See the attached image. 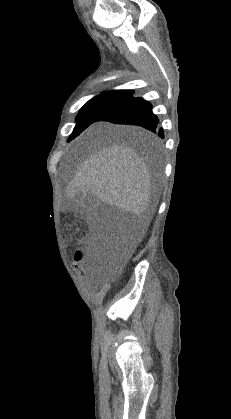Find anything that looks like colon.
<instances>
[{"label": "colon", "instance_id": "colon-1", "mask_svg": "<svg viewBox=\"0 0 231 419\" xmlns=\"http://www.w3.org/2000/svg\"><path fill=\"white\" fill-rule=\"evenodd\" d=\"M81 256V252H78L77 253V257L79 258ZM113 269H116V266L115 265H113Z\"/></svg>", "mask_w": 231, "mask_h": 419}]
</instances>
